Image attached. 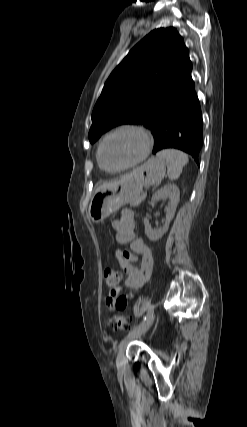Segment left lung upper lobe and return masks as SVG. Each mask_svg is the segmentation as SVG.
<instances>
[{"label": "left lung upper lobe", "mask_w": 247, "mask_h": 427, "mask_svg": "<svg viewBox=\"0 0 247 427\" xmlns=\"http://www.w3.org/2000/svg\"><path fill=\"white\" fill-rule=\"evenodd\" d=\"M189 50L175 28H159L136 44L107 79L92 113L89 140L120 124L150 128L155 116L192 82Z\"/></svg>", "instance_id": "obj_1"}]
</instances>
